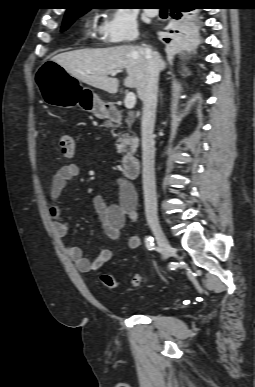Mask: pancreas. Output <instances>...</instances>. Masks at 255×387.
<instances>
[{"label": "pancreas", "mask_w": 255, "mask_h": 387, "mask_svg": "<svg viewBox=\"0 0 255 387\" xmlns=\"http://www.w3.org/2000/svg\"><path fill=\"white\" fill-rule=\"evenodd\" d=\"M132 122V120H129V125H131ZM106 124L112 126L111 120L107 121ZM116 147L120 153H127L128 150L130 153H134L138 147V139L130 136L129 133H124L119 136Z\"/></svg>", "instance_id": "cf45deb5"}]
</instances>
